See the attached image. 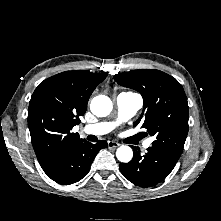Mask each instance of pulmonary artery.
<instances>
[{"label":"pulmonary artery","instance_id":"obj_1","mask_svg":"<svg viewBox=\"0 0 221 221\" xmlns=\"http://www.w3.org/2000/svg\"><path fill=\"white\" fill-rule=\"evenodd\" d=\"M142 97L132 92H122L117 96L116 104L118 110V118L116 122H99L96 124L86 125L83 131L86 134L101 136L111 132L117 124L126 122L131 119L142 106ZM152 140L148 139L144 142V148L151 145Z\"/></svg>","mask_w":221,"mask_h":221}]
</instances>
